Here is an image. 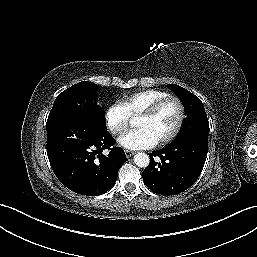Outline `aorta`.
I'll return each mask as SVG.
<instances>
[{
    "label": "aorta",
    "mask_w": 257,
    "mask_h": 257,
    "mask_svg": "<svg viewBox=\"0 0 257 257\" xmlns=\"http://www.w3.org/2000/svg\"><path fill=\"white\" fill-rule=\"evenodd\" d=\"M134 162L138 167L145 168L149 165L150 159L147 154L138 152L134 156Z\"/></svg>",
    "instance_id": "aorta-1"
}]
</instances>
